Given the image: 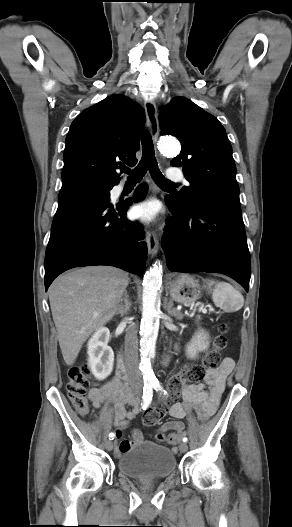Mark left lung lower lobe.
Masks as SVG:
<instances>
[{"mask_svg": "<svg viewBox=\"0 0 292 527\" xmlns=\"http://www.w3.org/2000/svg\"><path fill=\"white\" fill-rule=\"evenodd\" d=\"M166 204L174 215L162 238L168 268L222 273L248 291L250 253L240 205L200 203L184 210L170 196Z\"/></svg>", "mask_w": 292, "mask_h": 527, "instance_id": "left-lung-lower-lobe-1", "label": "left lung lower lobe"}]
</instances>
